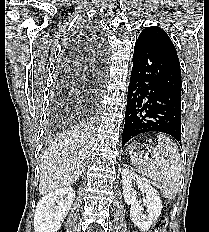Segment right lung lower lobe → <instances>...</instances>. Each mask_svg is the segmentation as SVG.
<instances>
[{
  "mask_svg": "<svg viewBox=\"0 0 209 232\" xmlns=\"http://www.w3.org/2000/svg\"><path fill=\"white\" fill-rule=\"evenodd\" d=\"M102 72V63L96 64V69H95V73L97 75H100Z\"/></svg>",
  "mask_w": 209,
  "mask_h": 232,
  "instance_id": "98d812e1",
  "label": "right lung lower lobe"
}]
</instances>
